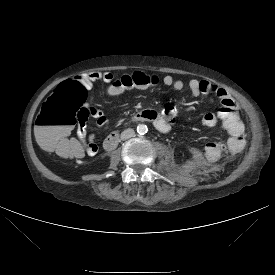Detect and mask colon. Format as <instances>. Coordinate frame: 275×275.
I'll list each match as a JSON object with an SVG mask.
<instances>
[{
  "mask_svg": "<svg viewBox=\"0 0 275 275\" xmlns=\"http://www.w3.org/2000/svg\"><path fill=\"white\" fill-rule=\"evenodd\" d=\"M161 78L156 73H133L120 80L111 79L106 91L111 96L133 94L136 91L156 90ZM87 88L78 80H68L59 84L41 107L36 118V138L39 145L60 156L82 154L79 143L69 140L67 133L77 124H83L91 116L90 107L85 105ZM146 112V111H145ZM220 125L227 130L236 129L241 122L237 105L231 101L221 103L216 110Z\"/></svg>",
  "mask_w": 275,
  "mask_h": 275,
  "instance_id": "obj_1",
  "label": "colon"
}]
</instances>
